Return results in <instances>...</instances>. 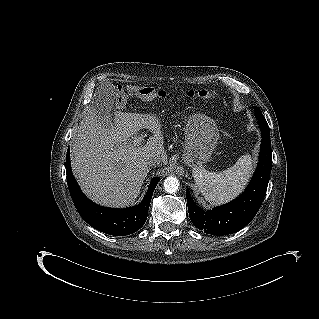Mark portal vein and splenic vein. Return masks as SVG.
Masks as SVG:
<instances>
[{
	"mask_svg": "<svg viewBox=\"0 0 319 319\" xmlns=\"http://www.w3.org/2000/svg\"><path fill=\"white\" fill-rule=\"evenodd\" d=\"M144 140V137L143 136H140V137H137V138H134V140L132 141L133 145L135 146H139L142 141Z\"/></svg>",
	"mask_w": 319,
	"mask_h": 319,
	"instance_id": "1",
	"label": "portal vein and splenic vein"
}]
</instances>
